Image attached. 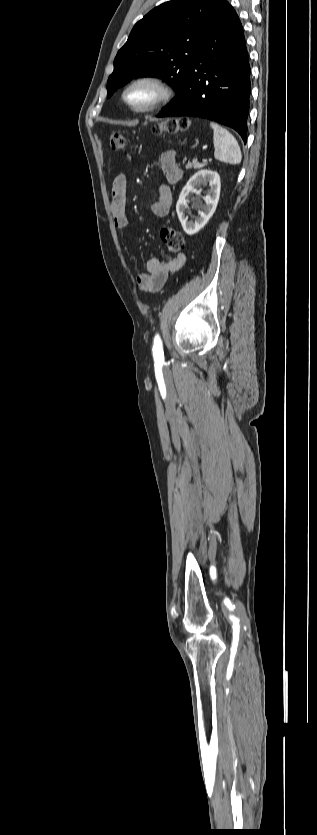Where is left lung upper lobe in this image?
<instances>
[{"label": "left lung upper lobe", "mask_w": 317, "mask_h": 835, "mask_svg": "<svg viewBox=\"0 0 317 835\" xmlns=\"http://www.w3.org/2000/svg\"><path fill=\"white\" fill-rule=\"evenodd\" d=\"M229 6L226 0H172L154 8L135 24L118 51L107 97L133 78L154 76L166 80L177 99L200 49Z\"/></svg>", "instance_id": "5c2ea615"}]
</instances>
